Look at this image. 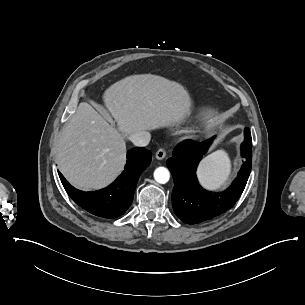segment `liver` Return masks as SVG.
I'll return each instance as SVG.
<instances>
[{
  "label": "liver",
  "instance_id": "1",
  "mask_svg": "<svg viewBox=\"0 0 305 305\" xmlns=\"http://www.w3.org/2000/svg\"><path fill=\"white\" fill-rule=\"evenodd\" d=\"M106 98L120 127L128 132L178 124L189 112L180 85L151 75L116 83ZM125 159L123 137L92 105L81 102L59 139L60 172L77 188L97 189L121 172Z\"/></svg>",
  "mask_w": 305,
  "mask_h": 305
}]
</instances>
